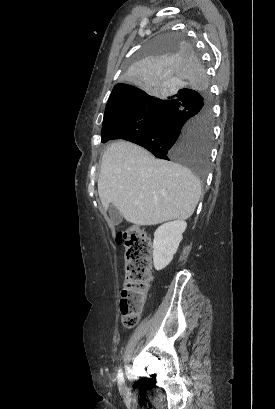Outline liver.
<instances>
[{"instance_id": "1", "label": "liver", "mask_w": 275, "mask_h": 409, "mask_svg": "<svg viewBox=\"0 0 275 409\" xmlns=\"http://www.w3.org/2000/svg\"><path fill=\"white\" fill-rule=\"evenodd\" d=\"M98 192L105 211L112 202L129 223L158 225L189 219L200 198L201 182L183 164L116 140L102 156Z\"/></svg>"}]
</instances>
